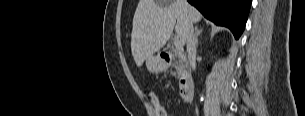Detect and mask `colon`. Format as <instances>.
<instances>
[{
    "mask_svg": "<svg viewBox=\"0 0 305 116\" xmlns=\"http://www.w3.org/2000/svg\"><path fill=\"white\" fill-rule=\"evenodd\" d=\"M153 116H171L170 112L162 105L157 95L152 91L145 92Z\"/></svg>",
    "mask_w": 305,
    "mask_h": 116,
    "instance_id": "1",
    "label": "colon"
}]
</instances>
